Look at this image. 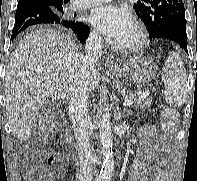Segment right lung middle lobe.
Instances as JSON below:
<instances>
[{"mask_svg": "<svg viewBox=\"0 0 197 181\" xmlns=\"http://www.w3.org/2000/svg\"><path fill=\"white\" fill-rule=\"evenodd\" d=\"M49 7L52 8V10L58 15L60 16L61 18L65 19V16H64V5H50L48 4Z\"/></svg>", "mask_w": 197, "mask_h": 181, "instance_id": "dd1d6c3e", "label": "right lung middle lobe"}]
</instances>
